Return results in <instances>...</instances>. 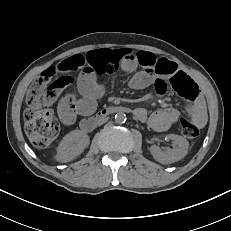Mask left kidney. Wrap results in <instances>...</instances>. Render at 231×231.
<instances>
[{
    "mask_svg": "<svg viewBox=\"0 0 231 231\" xmlns=\"http://www.w3.org/2000/svg\"><path fill=\"white\" fill-rule=\"evenodd\" d=\"M174 142V148L162 151L158 146L152 145L150 152L155 160L162 164H169L184 158L188 153L189 142L182 136L170 134L167 136Z\"/></svg>",
    "mask_w": 231,
    "mask_h": 231,
    "instance_id": "obj_1",
    "label": "left kidney"
}]
</instances>
